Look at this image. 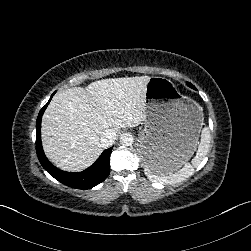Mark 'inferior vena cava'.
I'll use <instances>...</instances> for the list:
<instances>
[{
    "label": "inferior vena cava",
    "mask_w": 251,
    "mask_h": 251,
    "mask_svg": "<svg viewBox=\"0 0 251 251\" xmlns=\"http://www.w3.org/2000/svg\"><path fill=\"white\" fill-rule=\"evenodd\" d=\"M116 139H117L116 132L113 131L112 129H107L102 133L100 142H101L102 147H109L113 145Z\"/></svg>",
    "instance_id": "inferior-vena-cava-1"
}]
</instances>
